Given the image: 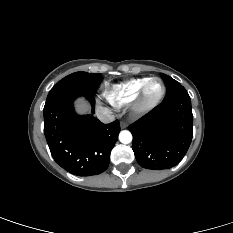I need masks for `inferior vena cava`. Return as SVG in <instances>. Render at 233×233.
<instances>
[{
  "label": "inferior vena cava",
  "instance_id": "inferior-vena-cava-1",
  "mask_svg": "<svg viewBox=\"0 0 233 233\" xmlns=\"http://www.w3.org/2000/svg\"><path fill=\"white\" fill-rule=\"evenodd\" d=\"M96 116L103 123H111L114 121V115L108 110H97Z\"/></svg>",
  "mask_w": 233,
  "mask_h": 233
}]
</instances>
